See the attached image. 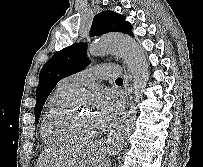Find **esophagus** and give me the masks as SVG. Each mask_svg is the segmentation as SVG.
<instances>
[{
	"instance_id": "1",
	"label": "esophagus",
	"mask_w": 203,
	"mask_h": 167,
	"mask_svg": "<svg viewBox=\"0 0 203 167\" xmlns=\"http://www.w3.org/2000/svg\"><path fill=\"white\" fill-rule=\"evenodd\" d=\"M130 81H131V76L130 74L125 70L124 72V89H125V98L126 101H128V98L131 94V87H130ZM123 110H125V106L123 108Z\"/></svg>"
}]
</instances>
